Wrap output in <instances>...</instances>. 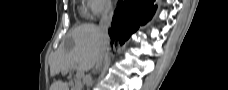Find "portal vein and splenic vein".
Masks as SVG:
<instances>
[{
  "mask_svg": "<svg viewBox=\"0 0 228 90\" xmlns=\"http://www.w3.org/2000/svg\"><path fill=\"white\" fill-rule=\"evenodd\" d=\"M72 69H77L78 73H77V78H81V76L83 75V71L79 68V67H73Z\"/></svg>",
  "mask_w": 228,
  "mask_h": 90,
  "instance_id": "1",
  "label": "portal vein and splenic vein"
}]
</instances>
